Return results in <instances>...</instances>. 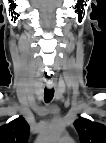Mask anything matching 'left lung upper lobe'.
Masks as SVG:
<instances>
[{
  "mask_svg": "<svg viewBox=\"0 0 106 143\" xmlns=\"http://www.w3.org/2000/svg\"><path fill=\"white\" fill-rule=\"evenodd\" d=\"M81 143H106V126L79 117L74 122Z\"/></svg>",
  "mask_w": 106,
  "mask_h": 143,
  "instance_id": "5c2ea615",
  "label": "left lung upper lobe"
}]
</instances>
